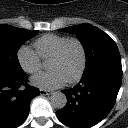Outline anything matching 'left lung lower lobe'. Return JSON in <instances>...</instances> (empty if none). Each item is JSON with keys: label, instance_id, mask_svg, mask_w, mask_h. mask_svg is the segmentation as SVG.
<instances>
[{"label": "left lung lower lobe", "instance_id": "1", "mask_svg": "<svg viewBox=\"0 0 128 128\" xmlns=\"http://www.w3.org/2000/svg\"><path fill=\"white\" fill-rule=\"evenodd\" d=\"M122 80L121 59H105L83 73L79 84L63 90L67 104L58 119L71 128H88L113 108Z\"/></svg>", "mask_w": 128, "mask_h": 128}]
</instances>
